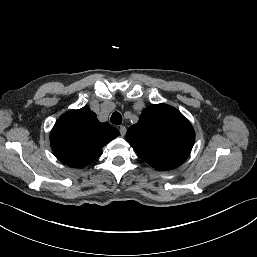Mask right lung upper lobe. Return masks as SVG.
<instances>
[{"instance_id":"right-lung-upper-lobe-1","label":"right lung upper lobe","mask_w":257,"mask_h":257,"mask_svg":"<svg viewBox=\"0 0 257 257\" xmlns=\"http://www.w3.org/2000/svg\"><path fill=\"white\" fill-rule=\"evenodd\" d=\"M119 135L108 123H100L88 107L60 116L51 131V147L64 164L84 167L102 154V148Z\"/></svg>"}]
</instances>
